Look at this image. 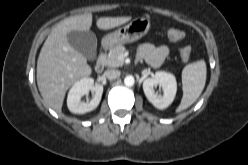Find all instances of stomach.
I'll return each instance as SVG.
<instances>
[{"mask_svg":"<svg viewBox=\"0 0 248 165\" xmlns=\"http://www.w3.org/2000/svg\"><path fill=\"white\" fill-rule=\"evenodd\" d=\"M149 29L150 20L148 18H135L123 27L107 34L103 38V45L106 47H113L116 45L132 43L146 35Z\"/></svg>","mask_w":248,"mask_h":165,"instance_id":"0dacf381","label":"stomach"}]
</instances>
